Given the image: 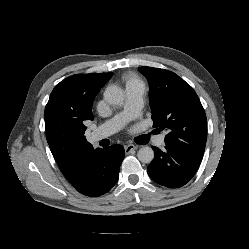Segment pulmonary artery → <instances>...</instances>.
I'll return each mask as SVG.
<instances>
[{
  "label": "pulmonary artery",
  "mask_w": 249,
  "mask_h": 249,
  "mask_svg": "<svg viewBox=\"0 0 249 249\" xmlns=\"http://www.w3.org/2000/svg\"><path fill=\"white\" fill-rule=\"evenodd\" d=\"M127 103L125 111L111 121L102 124L94 129L90 134V139L94 142L100 141L117 130H119L129 119L140 113L143 104L144 87L134 86L126 89ZM156 146L163 148L165 146V134L150 136ZM149 138V137H148Z\"/></svg>",
  "instance_id": "pulmonary-artery-1"
}]
</instances>
